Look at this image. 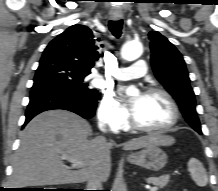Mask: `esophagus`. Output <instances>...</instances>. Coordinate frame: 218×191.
<instances>
[{"label":"esophagus","instance_id":"34e87169","mask_svg":"<svg viewBox=\"0 0 218 191\" xmlns=\"http://www.w3.org/2000/svg\"><path fill=\"white\" fill-rule=\"evenodd\" d=\"M111 17H112V19L118 21V20L122 19V12L120 11V9L115 8L111 11Z\"/></svg>","mask_w":218,"mask_h":191}]
</instances>
